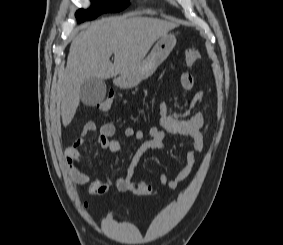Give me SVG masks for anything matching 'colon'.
Returning a JSON list of instances; mask_svg holds the SVG:
<instances>
[{
	"label": "colon",
	"mask_w": 283,
	"mask_h": 245,
	"mask_svg": "<svg viewBox=\"0 0 283 245\" xmlns=\"http://www.w3.org/2000/svg\"><path fill=\"white\" fill-rule=\"evenodd\" d=\"M199 58L200 54L195 48H189L184 52L185 63L188 66H192ZM113 101L114 93L110 91L107 97L97 105V108L102 112H109L113 106ZM131 189L140 195H150L153 193L151 187L144 182H132Z\"/></svg>",
	"instance_id": "colon-1"
}]
</instances>
